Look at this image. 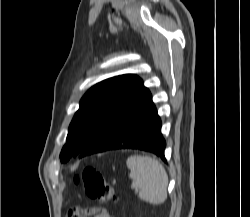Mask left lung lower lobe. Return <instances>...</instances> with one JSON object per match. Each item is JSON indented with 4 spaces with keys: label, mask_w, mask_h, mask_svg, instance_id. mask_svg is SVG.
<instances>
[{
    "label": "left lung lower lobe",
    "mask_w": 250,
    "mask_h": 217,
    "mask_svg": "<svg viewBox=\"0 0 250 217\" xmlns=\"http://www.w3.org/2000/svg\"><path fill=\"white\" fill-rule=\"evenodd\" d=\"M160 129L161 120L152 96L141 83L79 157L113 149H139L166 162V142Z\"/></svg>",
    "instance_id": "0a47b994"
}]
</instances>
